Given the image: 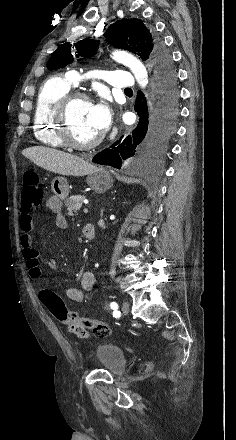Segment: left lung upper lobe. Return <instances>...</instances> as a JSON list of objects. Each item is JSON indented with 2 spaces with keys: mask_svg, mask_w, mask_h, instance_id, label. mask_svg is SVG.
I'll return each instance as SVG.
<instances>
[{
  "mask_svg": "<svg viewBox=\"0 0 236 440\" xmlns=\"http://www.w3.org/2000/svg\"><path fill=\"white\" fill-rule=\"evenodd\" d=\"M104 35L110 45L128 50L152 65L157 61L171 63L162 41L139 19L119 20L112 24ZM98 45V41L90 39L78 41L76 44L64 43L52 53L46 67L50 70L64 67L73 62L75 53L77 57L93 56Z\"/></svg>",
  "mask_w": 236,
  "mask_h": 440,
  "instance_id": "1",
  "label": "left lung upper lobe"
}]
</instances>
